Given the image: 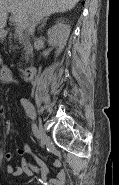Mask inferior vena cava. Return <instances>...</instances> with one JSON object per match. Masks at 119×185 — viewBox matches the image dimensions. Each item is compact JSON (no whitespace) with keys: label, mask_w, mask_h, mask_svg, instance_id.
<instances>
[{"label":"inferior vena cava","mask_w":119,"mask_h":185,"mask_svg":"<svg viewBox=\"0 0 119 185\" xmlns=\"http://www.w3.org/2000/svg\"><path fill=\"white\" fill-rule=\"evenodd\" d=\"M27 31H28V33L31 36L34 35V32H35V23H34V20L31 17H29V19H28Z\"/></svg>","instance_id":"inferior-vena-cava-1"}]
</instances>
